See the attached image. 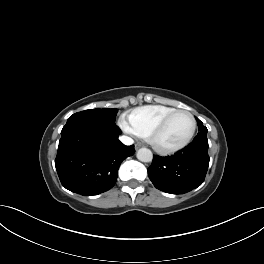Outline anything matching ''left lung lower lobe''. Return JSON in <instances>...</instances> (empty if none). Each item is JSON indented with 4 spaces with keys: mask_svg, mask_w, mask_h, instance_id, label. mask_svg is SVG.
I'll return each mask as SVG.
<instances>
[{
    "mask_svg": "<svg viewBox=\"0 0 264 264\" xmlns=\"http://www.w3.org/2000/svg\"><path fill=\"white\" fill-rule=\"evenodd\" d=\"M207 136L197 135L174 155H154L148 175L154 186L166 193L184 194L199 187L209 166Z\"/></svg>",
    "mask_w": 264,
    "mask_h": 264,
    "instance_id": "1",
    "label": "left lung lower lobe"
}]
</instances>
